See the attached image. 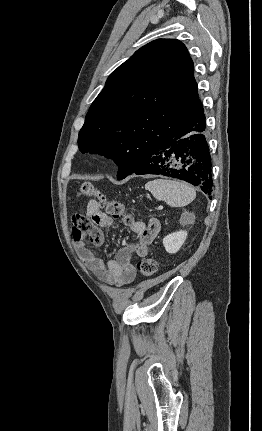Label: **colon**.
<instances>
[{"instance_id":"colon-1","label":"colon","mask_w":262,"mask_h":431,"mask_svg":"<svg viewBox=\"0 0 262 431\" xmlns=\"http://www.w3.org/2000/svg\"><path fill=\"white\" fill-rule=\"evenodd\" d=\"M78 195L82 198H93L98 205L105 209L108 216L112 218H123L127 223L134 221L132 215L127 212L123 203L116 199H110L105 194L99 192L91 183H83L78 191ZM74 217L73 221L76 222ZM138 273L143 277H151L158 271V262L156 259L148 257L140 260L137 264Z\"/></svg>"}]
</instances>
